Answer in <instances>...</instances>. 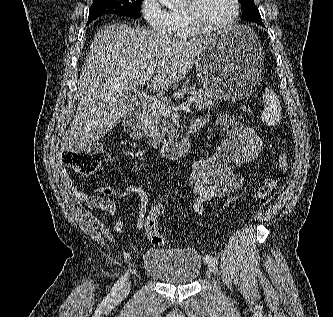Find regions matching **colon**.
<instances>
[{"label": "colon", "mask_w": 333, "mask_h": 317, "mask_svg": "<svg viewBox=\"0 0 333 317\" xmlns=\"http://www.w3.org/2000/svg\"><path fill=\"white\" fill-rule=\"evenodd\" d=\"M241 110L245 114L252 113V108L249 105L241 106ZM105 158L106 156L100 144H92L81 150L67 151L63 155L65 165L82 176H89L95 173L100 168ZM277 165L280 175L287 172L289 163L285 151L280 152ZM278 180V176L266 179L256 190L254 199L256 201L265 199L274 191ZM167 215L168 210L163 203L149 205L147 209L144 221L145 233L149 241L156 246H165L167 244L166 238L159 232V224Z\"/></svg>", "instance_id": "obj_1"}]
</instances>
